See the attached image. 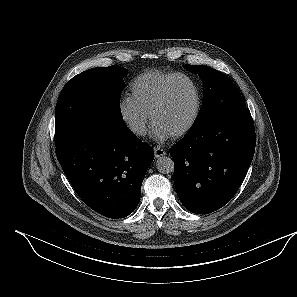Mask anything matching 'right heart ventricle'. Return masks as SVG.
Returning a JSON list of instances; mask_svg holds the SVG:
<instances>
[{
	"label": "right heart ventricle",
	"mask_w": 297,
	"mask_h": 297,
	"mask_svg": "<svg viewBox=\"0 0 297 297\" xmlns=\"http://www.w3.org/2000/svg\"><path fill=\"white\" fill-rule=\"evenodd\" d=\"M177 74L159 70H150L140 74L130 86V98L146 114H149L165 85Z\"/></svg>",
	"instance_id": "1"
}]
</instances>
